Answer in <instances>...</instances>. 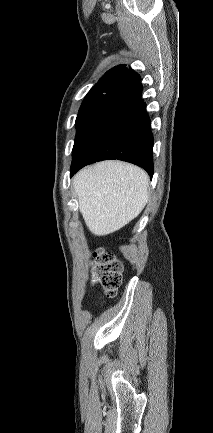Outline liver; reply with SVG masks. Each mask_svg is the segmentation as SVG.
Returning a JSON list of instances; mask_svg holds the SVG:
<instances>
[{
	"mask_svg": "<svg viewBox=\"0 0 213 433\" xmlns=\"http://www.w3.org/2000/svg\"><path fill=\"white\" fill-rule=\"evenodd\" d=\"M149 182L143 169L121 161H102L80 170L73 188L90 232L108 235L136 218L148 202Z\"/></svg>",
	"mask_w": 213,
	"mask_h": 433,
	"instance_id": "1",
	"label": "liver"
}]
</instances>
